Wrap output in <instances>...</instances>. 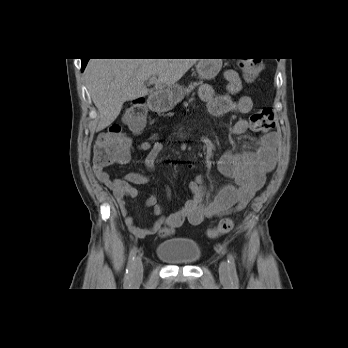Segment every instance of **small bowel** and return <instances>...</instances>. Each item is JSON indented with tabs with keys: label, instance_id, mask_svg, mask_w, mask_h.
Here are the masks:
<instances>
[{
	"label": "small bowel",
	"instance_id": "small-bowel-1",
	"mask_svg": "<svg viewBox=\"0 0 348 348\" xmlns=\"http://www.w3.org/2000/svg\"><path fill=\"white\" fill-rule=\"evenodd\" d=\"M224 80L226 91L222 94L217 93L210 84L205 83L200 86L199 94L205 102L207 110L215 116H222L229 112L242 114L250 112L252 109L250 97L232 98L242 89V81L238 73L228 70L224 73ZM248 129L249 123L245 118H240L229 126V131L234 135H241ZM277 140L278 137L275 133H269L259 138L258 146L253 151L224 154L218 162V168L223 175L233 180L234 184L223 187L209 203L204 201L201 177H197L188 186L191 198L182 208L172 214L164 215V206L158 203L156 195L149 197L146 205L153 208L157 218L152 225L144 228L134 222L127 207V199L135 198L138 194L134 184L149 183L150 177L144 173H129L112 179L104 167L95 165L93 170L98 180L113 192L129 232L136 237H146L159 233L164 227H178L186 220L192 225H200L223 214L242 210L264 185L266 175L275 167ZM162 148V144L158 141H144L136 146L138 151L147 152L145 165L148 172L154 170ZM129 157L128 154L126 159L118 163H127ZM166 194L170 195L168 189H166Z\"/></svg>",
	"mask_w": 348,
	"mask_h": 348
}]
</instances>
